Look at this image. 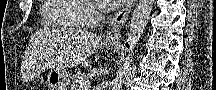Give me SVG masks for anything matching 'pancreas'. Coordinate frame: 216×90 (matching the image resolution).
Instances as JSON below:
<instances>
[{"instance_id":"obj_1","label":"pancreas","mask_w":216,"mask_h":90,"mask_svg":"<svg viewBox=\"0 0 216 90\" xmlns=\"http://www.w3.org/2000/svg\"><path fill=\"white\" fill-rule=\"evenodd\" d=\"M86 76L85 74H82V72H77V74H74L72 80H73V84H75V86H79V82L80 80H85Z\"/></svg>"}]
</instances>
